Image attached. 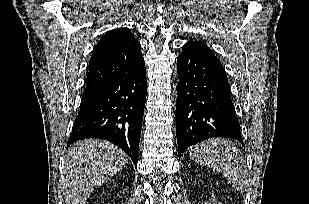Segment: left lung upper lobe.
Masks as SVG:
<instances>
[{
  "mask_svg": "<svg viewBox=\"0 0 309 204\" xmlns=\"http://www.w3.org/2000/svg\"><path fill=\"white\" fill-rule=\"evenodd\" d=\"M185 46H188L189 48L199 51L204 56H206L208 59L221 64V62L218 60V58L215 56V54L208 48L206 44L203 42L197 41V40H191L190 42L186 43Z\"/></svg>",
  "mask_w": 309,
  "mask_h": 204,
  "instance_id": "1",
  "label": "left lung upper lobe"
}]
</instances>
